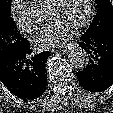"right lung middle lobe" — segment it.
Here are the masks:
<instances>
[{
  "label": "right lung middle lobe",
  "mask_w": 113,
  "mask_h": 113,
  "mask_svg": "<svg viewBox=\"0 0 113 113\" xmlns=\"http://www.w3.org/2000/svg\"><path fill=\"white\" fill-rule=\"evenodd\" d=\"M11 2L12 0H0V62L27 41L11 17Z\"/></svg>",
  "instance_id": "1"
}]
</instances>
